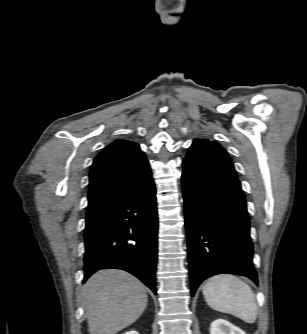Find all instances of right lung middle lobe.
<instances>
[{
    "mask_svg": "<svg viewBox=\"0 0 307 334\" xmlns=\"http://www.w3.org/2000/svg\"><path fill=\"white\" fill-rule=\"evenodd\" d=\"M95 217H86V225L91 224L94 221Z\"/></svg>",
    "mask_w": 307,
    "mask_h": 334,
    "instance_id": "1",
    "label": "right lung middle lobe"
}]
</instances>
